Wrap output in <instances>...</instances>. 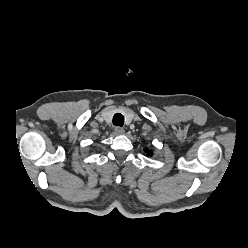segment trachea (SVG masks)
<instances>
[{
    "label": "trachea",
    "mask_w": 248,
    "mask_h": 248,
    "mask_svg": "<svg viewBox=\"0 0 248 248\" xmlns=\"http://www.w3.org/2000/svg\"><path fill=\"white\" fill-rule=\"evenodd\" d=\"M113 124L122 127L124 124V116L121 113H116L113 116Z\"/></svg>",
    "instance_id": "3493384b"
}]
</instances>
